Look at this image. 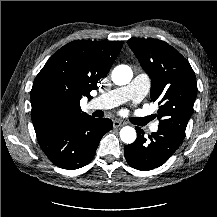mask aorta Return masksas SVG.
Returning <instances> with one entry per match:
<instances>
[{
  "label": "aorta",
  "mask_w": 217,
  "mask_h": 217,
  "mask_svg": "<svg viewBox=\"0 0 217 217\" xmlns=\"http://www.w3.org/2000/svg\"><path fill=\"white\" fill-rule=\"evenodd\" d=\"M112 81L118 86L128 84L132 77V69L127 65H118L112 71ZM137 134L133 127L125 126L120 130V138L126 144H131L136 140Z\"/></svg>",
  "instance_id": "1"
}]
</instances>
